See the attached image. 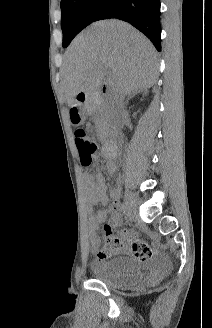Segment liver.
Listing matches in <instances>:
<instances>
[{"label": "liver", "instance_id": "obj_1", "mask_svg": "<svg viewBox=\"0 0 212 328\" xmlns=\"http://www.w3.org/2000/svg\"><path fill=\"white\" fill-rule=\"evenodd\" d=\"M107 80L115 93L130 95L153 86L158 76L157 53L151 42L130 24L105 20L91 24L70 44L62 69L68 104L83 92H96Z\"/></svg>", "mask_w": 212, "mask_h": 328}]
</instances>
